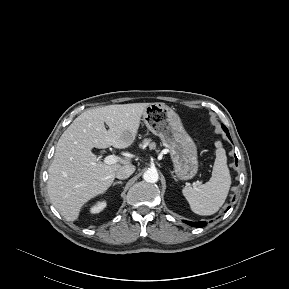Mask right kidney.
<instances>
[{
    "instance_id": "ca27d5eb",
    "label": "right kidney",
    "mask_w": 289,
    "mask_h": 289,
    "mask_svg": "<svg viewBox=\"0 0 289 289\" xmlns=\"http://www.w3.org/2000/svg\"><path fill=\"white\" fill-rule=\"evenodd\" d=\"M106 205L107 203L105 201L98 202L91 207L90 212L93 214L99 213L106 207Z\"/></svg>"
}]
</instances>
